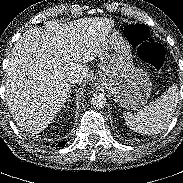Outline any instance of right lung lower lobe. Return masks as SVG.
I'll use <instances>...</instances> for the list:
<instances>
[{
    "instance_id": "98d812e1",
    "label": "right lung lower lobe",
    "mask_w": 183,
    "mask_h": 183,
    "mask_svg": "<svg viewBox=\"0 0 183 183\" xmlns=\"http://www.w3.org/2000/svg\"><path fill=\"white\" fill-rule=\"evenodd\" d=\"M66 143H67V141H62V142H60L57 146L62 147V146H64Z\"/></svg>"
}]
</instances>
